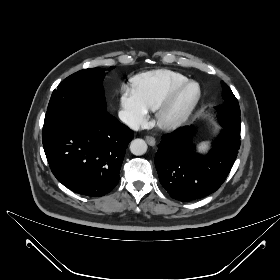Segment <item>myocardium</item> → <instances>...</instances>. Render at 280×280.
Segmentation results:
<instances>
[{
  "instance_id": "1",
  "label": "myocardium",
  "mask_w": 280,
  "mask_h": 280,
  "mask_svg": "<svg viewBox=\"0 0 280 280\" xmlns=\"http://www.w3.org/2000/svg\"><path fill=\"white\" fill-rule=\"evenodd\" d=\"M195 86L196 93L187 105L175 114H170L180 95L189 87ZM201 86L197 81L187 80L186 82L174 87L168 95L155 108V122L162 130H173L184 124L192 115L201 98Z\"/></svg>"
}]
</instances>
